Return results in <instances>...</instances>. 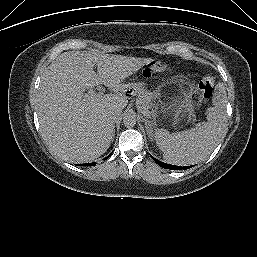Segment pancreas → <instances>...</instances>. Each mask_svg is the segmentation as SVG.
<instances>
[{
	"label": "pancreas",
	"instance_id": "1",
	"mask_svg": "<svg viewBox=\"0 0 257 257\" xmlns=\"http://www.w3.org/2000/svg\"><path fill=\"white\" fill-rule=\"evenodd\" d=\"M155 99V95L147 90H143L138 92V99H137V105L141 108V109H147V110H151V113L153 116L157 115V104L154 101ZM190 120L195 121L196 117L194 114L189 116Z\"/></svg>",
	"mask_w": 257,
	"mask_h": 257
}]
</instances>
